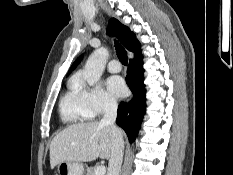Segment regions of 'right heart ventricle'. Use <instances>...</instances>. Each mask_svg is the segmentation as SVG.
Wrapping results in <instances>:
<instances>
[{"instance_id":"1","label":"right heart ventricle","mask_w":233,"mask_h":175,"mask_svg":"<svg viewBox=\"0 0 233 175\" xmlns=\"http://www.w3.org/2000/svg\"><path fill=\"white\" fill-rule=\"evenodd\" d=\"M59 114L62 121L71 124L82 123L93 118L92 110L77 79L70 83L69 89L61 97Z\"/></svg>"}]
</instances>
